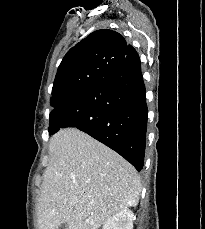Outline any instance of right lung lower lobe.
<instances>
[{"label": "right lung lower lobe", "instance_id": "right-lung-lower-lobe-1", "mask_svg": "<svg viewBox=\"0 0 205 229\" xmlns=\"http://www.w3.org/2000/svg\"><path fill=\"white\" fill-rule=\"evenodd\" d=\"M50 134L76 127L143 168L147 129L140 59L130 47L125 60L104 78L50 113Z\"/></svg>", "mask_w": 205, "mask_h": 229}]
</instances>
